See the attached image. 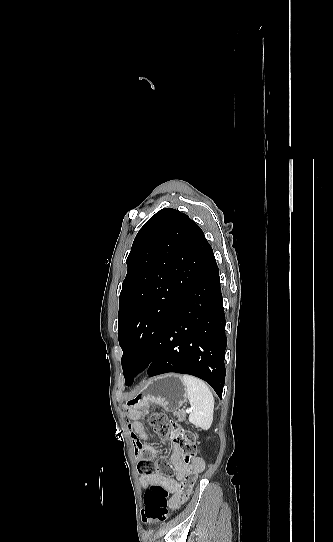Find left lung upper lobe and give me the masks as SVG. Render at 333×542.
Returning a JSON list of instances; mask_svg holds the SVG:
<instances>
[{
  "label": "left lung upper lobe",
  "mask_w": 333,
  "mask_h": 542,
  "mask_svg": "<svg viewBox=\"0 0 333 542\" xmlns=\"http://www.w3.org/2000/svg\"><path fill=\"white\" fill-rule=\"evenodd\" d=\"M211 250L201 228L172 208L158 211L137 233L119 297L125 382L151 362L163 330Z\"/></svg>",
  "instance_id": "obj_1"
}]
</instances>
